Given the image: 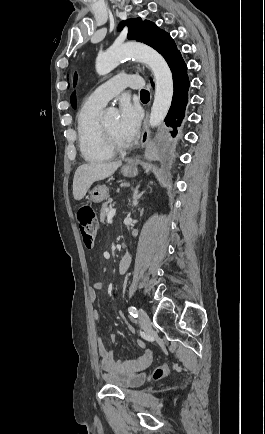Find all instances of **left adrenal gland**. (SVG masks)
Here are the masks:
<instances>
[{"label":"left adrenal gland","instance_id":"left-adrenal-gland-1","mask_svg":"<svg viewBox=\"0 0 265 434\" xmlns=\"http://www.w3.org/2000/svg\"><path fill=\"white\" fill-rule=\"evenodd\" d=\"M139 188H140V186H136V188H135V192L133 194L132 206H137L138 200H140L141 196H143V194H144V192H141V194H139Z\"/></svg>","mask_w":265,"mask_h":434}]
</instances>
